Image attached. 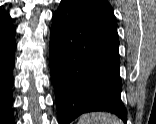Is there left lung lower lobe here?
<instances>
[{
  "label": "left lung lower lobe",
  "mask_w": 156,
  "mask_h": 124,
  "mask_svg": "<svg viewBox=\"0 0 156 124\" xmlns=\"http://www.w3.org/2000/svg\"><path fill=\"white\" fill-rule=\"evenodd\" d=\"M116 27L62 0L53 15L49 60L60 124L107 111L126 123Z\"/></svg>",
  "instance_id": "1"
}]
</instances>
